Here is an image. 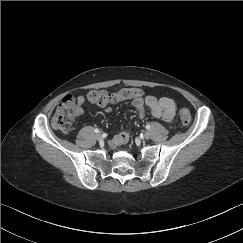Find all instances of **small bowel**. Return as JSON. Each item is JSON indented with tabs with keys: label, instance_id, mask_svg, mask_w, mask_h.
I'll return each instance as SVG.
<instances>
[{
	"label": "small bowel",
	"instance_id": "small-bowel-1",
	"mask_svg": "<svg viewBox=\"0 0 243 243\" xmlns=\"http://www.w3.org/2000/svg\"><path fill=\"white\" fill-rule=\"evenodd\" d=\"M133 106L135 107L139 117H144L147 109L150 114L156 118H161L165 123L170 124L175 120L176 105L173 99L168 97H155L153 95H142L140 98H130ZM85 102L83 96L77 97V103L79 105V113L83 112L82 106ZM102 108H105L107 112H111L112 109L108 106L109 103L99 104ZM130 133L123 131L116 134L113 137L112 144L115 147L123 146L128 142Z\"/></svg>",
	"mask_w": 243,
	"mask_h": 243
}]
</instances>
